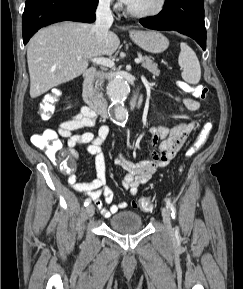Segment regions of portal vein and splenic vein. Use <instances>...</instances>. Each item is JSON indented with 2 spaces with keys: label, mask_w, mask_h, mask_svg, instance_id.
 <instances>
[{
  "label": "portal vein and splenic vein",
  "mask_w": 243,
  "mask_h": 289,
  "mask_svg": "<svg viewBox=\"0 0 243 289\" xmlns=\"http://www.w3.org/2000/svg\"><path fill=\"white\" fill-rule=\"evenodd\" d=\"M78 60H81L82 58L81 57H78L77 58ZM91 61L95 64H98V65H103V66H106V67H109V68H113L115 66V63L113 60L111 59H108V58H103V57H95V58H92ZM141 59L140 58H137L135 59V63L136 64H140L141 63Z\"/></svg>",
  "instance_id": "1"
}]
</instances>
